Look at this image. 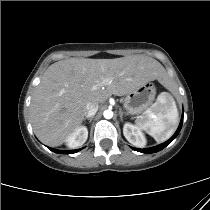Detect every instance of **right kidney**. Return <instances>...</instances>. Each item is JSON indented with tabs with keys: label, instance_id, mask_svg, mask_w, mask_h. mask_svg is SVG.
I'll return each instance as SVG.
<instances>
[{
	"label": "right kidney",
	"instance_id": "obj_1",
	"mask_svg": "<svg viewBox=\"0 0 210 210\" xmlns=\"http://www.w3.org/2000/svg\"><path fill=\"white\" fill-rule=\"evenodd\" d=\"M88 138V130L86 126L78 127L70 136H68L66 142L68 147L76 148L83 145Z\"/></svg>",
	"mask_w": 210,
	"mask_h": 210
}]
</instances>
